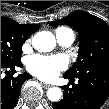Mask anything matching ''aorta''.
<instances>
[{"label":"aorta","mask_w":109,"mask_h":109,"mask_svg":"<svg viewBox=\"0 0 109 109\" xmlns=\"http://www.w3.org/2000/svg\"><path fill=\"white\" fill-rule=\"evenodd\" d=\"M32 45L39 52H50L55 48V36L49 31H40L32 39ZM47 97L52 102H58L62 97V90L58 87L49 88Z\"/></svg>","instance_id":"obj_1"}]
</instances>
